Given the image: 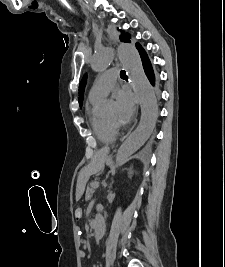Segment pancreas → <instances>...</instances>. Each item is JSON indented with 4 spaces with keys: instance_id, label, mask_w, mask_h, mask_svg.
<instances>
[{
    "instance_id": "obj_1",
    "label": "pancreas",
    "mask_w": 225,
    "mask_h": 267,
    "mask_svg": "<svg viewBox=\"0 0 225 267\" xmlns=\"http://www.w3.org/2000/svg\"><path fill=\"white\" fill-rule=\"evenodd\" d=\"M93 193H94V183L91 182L86 190V199L87 200L91 199Z\"/></svg>"
}]
</instances>
